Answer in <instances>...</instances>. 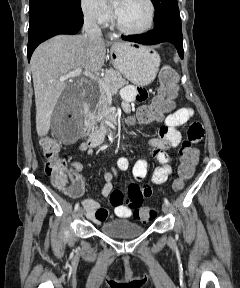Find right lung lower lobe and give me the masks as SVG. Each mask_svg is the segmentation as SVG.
I'll return each mask as SVG.
<instances>
[{
    "label": "right lung lower lobe",
    "mask_w": 240,
    "mask_h": 288,
    "mask_svg": "<svg viewBox=\"0 0 240 288\" xmlns=\"http://www.w3.org/2000/svg\"><path fill=\"white\" fill-rule=\"evenodd\" d=\"M82 24L83 17L55 16L42 21L28 32V60L41 42L57 34H75L81 29Z\"/></svg>",
    "instance_id": "98d812e1"
}]
</instances>
